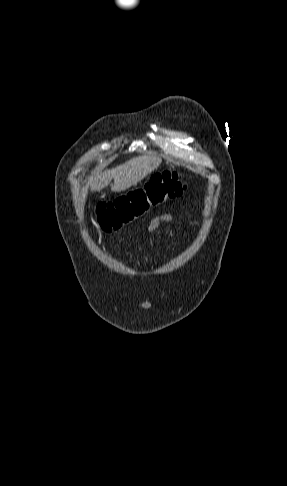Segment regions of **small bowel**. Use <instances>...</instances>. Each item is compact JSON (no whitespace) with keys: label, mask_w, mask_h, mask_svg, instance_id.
<instances>
[{"label":"small bowel","mask_w":287,"mask_h":486,"mask_svg":"<svg viewBox=\"0 0 287 486\" xmlns=\"http://www.w3.org/2000/svg\"><path fill=\"white\" fill-rule=\"evenodd\" d=\"M173 221H174V216L170 213L157 215L154 218H152L151 221L149 222L147 226V231L149 233H152L157 229H159L162 224L171 223Z\"/></svg>","instance_id":"small-bowel-1"}]
</instances>
